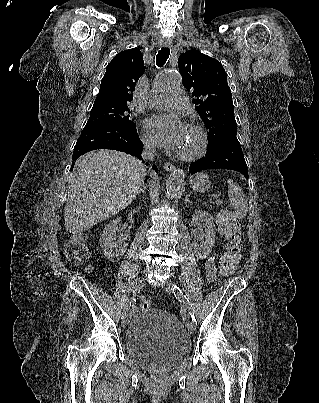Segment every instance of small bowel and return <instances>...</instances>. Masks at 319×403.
Wrapping results in <instances>:
<instances>
[{
	"label": "small bowel",
	"instance_id": "small-bowel-1",
	"mask_svg": "<svg viewBox=\"0 0 319 403\" xmlns=\"http://www.w3.org/2000/svg\"><path fill=\"white\" fill-rule=\"evenodd\" d=\"M205 271L209 280H214L217 275L216 257L215 255L209 257L205 263ZM229 275V274H224Z\"/></svg>",
	"mask_w": 319,
	"mask_h": 403
}]
</instances>
